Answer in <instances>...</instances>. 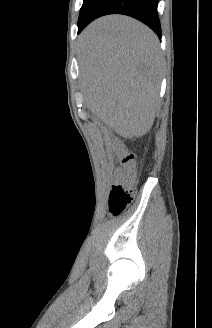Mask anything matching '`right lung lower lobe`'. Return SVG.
<instances>
[{"label":"right lung lower lobe","mask_w":212,"mask_h":328,"mask_svg":"<svg viewBox=\"0 0 212 328\" xmlns=\"http://www.w3.org/2000/svg\"><path fill=\"white\" fill-rule=\"evenodd\" d=\"M158 0H96L78 26V34L93 20L108 14L131 16L149 26L161 38Z\"/></svg>","instance_id":"1"}]
</instances>
